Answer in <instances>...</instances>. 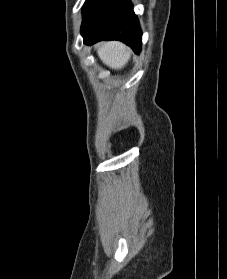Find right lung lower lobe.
Here are the masks:
<instances>
[{"label":"right lung lower lobe","mask_w":227,"mask_h":279,"mask_svg":"<svg viewBox=\"0 0 227 279\" xmlns=\"http://www.w3.org/2000/svg\"><path fill=\"white\" fill-rule=\"evenodd\" d=\"M81 35L85 44L119 40L141 51L142 32L130 0H93L83 13Z\"/></svg>","instance_id":"obj_1"}]
</instances>
